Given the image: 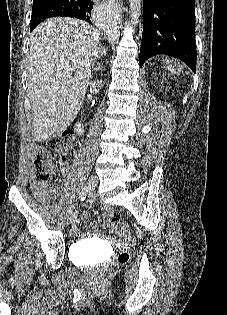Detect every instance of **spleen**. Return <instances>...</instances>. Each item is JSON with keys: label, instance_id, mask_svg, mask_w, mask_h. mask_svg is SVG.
I'll return each mask as SVG.
<instances>
[{"label": "spleen", "instance_id": "3e777b00", "mask_svg": "<svg viewBox=\"0 0 227 315\" xmlns=\"http://www.w3.org/2000/svg\"><path fill=\"white\" fill-rule=\"evenodd\" d=\"M168 68H170L171 71H174V66H170V67H168ZM178 71H181V68H180V67L178 68Z\"/></svg>", "mask_w": 227, "mask_h": 315}]
</instances>
